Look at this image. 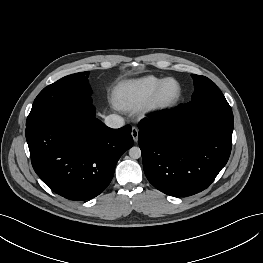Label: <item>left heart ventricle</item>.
I'll return each instance as SVG.
<instances>
[{"label":"left heart ventricle","instance_id":"left-heart-ventricle-1","mask_svg":"<svg viewBox=\"0 0 263 263\" xmlns=\"http://www.w3.org/2000/svg\"><path fill=\"white\" fill-rule=\"evenodd\" d=\"M176 90H177L176 84L169 83L168 86L166 87L164 95L166 97L173 96L176 93Z\"/></svg>","mask_w":263,"mask_h":263}]
</instances>
